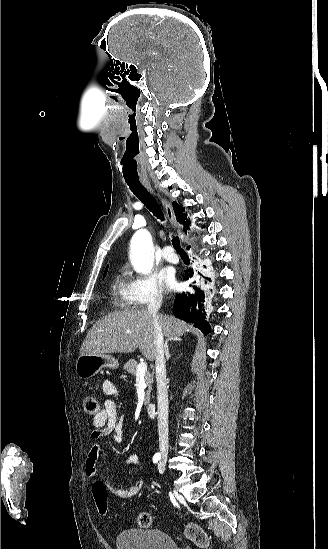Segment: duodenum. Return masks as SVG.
I'll return each mask as SVG.
<instances>
[{
	"label": "duodenum",
	"instance_id": "obj_1",
	"mask_svg": "<svg viewBox=\"0 0 328 549\" xmlns=\"http://www.w3.org/2000/svg\"><path fill=\"white\" fill-rule=\"evenodd\" d=\"M146 411L150 417H155L157 414V406L154 403H148L146 405Z\"/></svg>",
	"mask_w": 328,
	"mask_h": 549
}]
</instances>
